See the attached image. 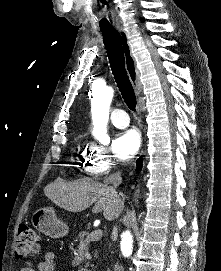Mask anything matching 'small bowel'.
<instances>
[{"instance_id": "1", "label": "small bowel", "mask_w": 221, "mask_h": 271, "mask_svg": "<svg viewBox=\"0 0 221 271\" xmlns=\"http://www.w3.org/2000/svg\"><path fill=\"white\" fill-rule=\"evenodd\" d=\"M57 264V254L48 251L42 260L28 262L20 271H55Z\"/></svg>"}]
</instances>
